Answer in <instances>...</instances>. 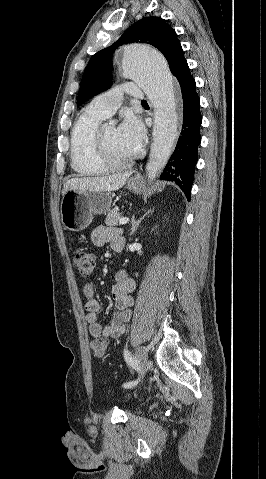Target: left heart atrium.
<instances>
[{
	"label": "left heart atrium",
	"mask_w": 266,
	"mask_h": 479,
	"mask_svg": "<svg viewBox=\"0 0 266 479\" xmlns=\"http://www.w3.org/2000/svg\"><path fill=\"white\" fill-rule=\"evenodd\" d=\"M118 136L125 152L129 156H133L140 151L142 146L143 125L136 117L128 115L118 128Z\"/></svg>",
	"instance_id": "left-heart-atrium-1"
}]
</instances>
